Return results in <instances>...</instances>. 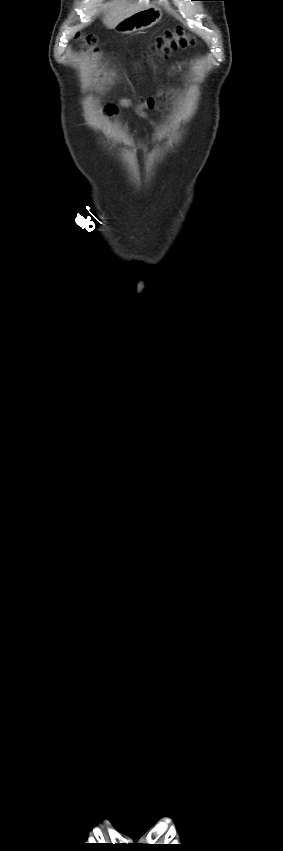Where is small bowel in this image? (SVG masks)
I'll return each mask as SVG.
<instances>
[{"label":"small bowel","mask_w":283,"mask_h":851,"mask_svg":"<svg viewBox=\"0 0 283 851\" xmlns=\"http://www.w3.org/2000/svg\"><path fill=\"white\" fill-rule=\"evenodd\" d=\"M120 105H121V106H123V107H131V106H133V104L131 103V101H130V100H128V99H123V100H121V101H120ZM133 107H134V110H135L136 114H137L139 117H141V118L145 119L146 121H148V123H149L151 126H153V127L155 126V122H154V121H153V120H152V119L148 116V114H147V113H146V111H145V109H146V108L153 109V108H156V107H157V103H156V101H155L153 98H149V99L145 100L144 102H142V103H140V104H138V105H135V106H133ZM106 112H107L108 114H113V113H115V112H116V108H115L114 106H109V107H107Z\"/></svg>","instance_id":"obj_1"}]
</instances>
